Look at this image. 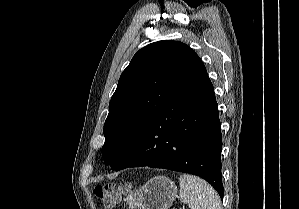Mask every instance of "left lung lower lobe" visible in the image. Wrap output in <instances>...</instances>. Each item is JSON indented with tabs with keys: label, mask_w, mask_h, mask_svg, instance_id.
Segmentation results:
<instances>
[{
	"label": "left lung lower lobe",
	"mask_w": 299,
	"mask_h": 209,
	"mask_svg": "<svg viewBox=\"0 0 299 209\" xmlns=\"http://www.w3.org/2000/svg\"><path fill=\"white\" fill-rule=\"evenodd\" d=\"M218 105L206 69L172 96L113 170L149 166L204 178L223 199Z\"/></svg>",
	"instance_id": "0a47b994"
}]
</instances>
